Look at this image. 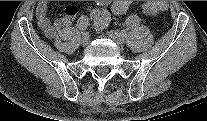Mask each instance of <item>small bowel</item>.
Wrapping results in <instances>:
<instances>
[{
	"label": "small bowel",
	"instance_id": "1",
	"mask_svg": "<svg viewBox=\"0 0 207 121\" xmlns=\"http://www.w3.org/2000/svg\"><path fill=\"white\" fill-rule=\"evenodd\" d=\"M108 4L109 2L107 1L100 2V5L102 6H105ZM122 4H126V7L124 9L119 8V6ZM111 6L114 7L115 15H121L127 10L128 2L117 1V2H114ZM47 12H48V2L40 1L36 7V18H37L38 26L47 38L52 39L56 36L57 32L60 29L68 27L69 25L72 24L75 18V15L77 13V9L73 5H67L64 9L63 15L58 17L54 22H52L48 18Z\"/></svg>",
	"mask_w": 207,
	"mask_h": 121
}]
</instances>
